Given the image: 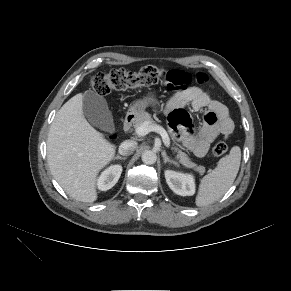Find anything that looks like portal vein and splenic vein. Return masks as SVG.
<instances>
[{"label":"portal vein and splenic vein","mask_w":291,"mask_h":291,"mask_svg":"<svg viewBox=\"0 0 291 291\" xmlns=\"http://www.w3.org/2000/svg\"><path fill=\"white\" fill-rule=\"evenodd\" d=\"M151 131L159 133L162 137V140H163L165 146L166 147L170 146V138H169L166 130L157 124H152L150 122H144L142 125H140L139 127L136 128L135 133L138 136H145Z\"/></svg>","instance_id":"18ae733b"}]
</instances>
